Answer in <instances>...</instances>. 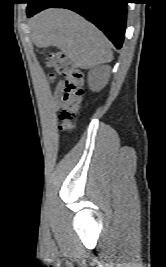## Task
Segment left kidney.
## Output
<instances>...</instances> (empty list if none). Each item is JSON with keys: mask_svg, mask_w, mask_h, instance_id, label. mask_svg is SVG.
<instances>
[{"mask_svg": "<svg viewBox=\"0 0 166 267\" xmlns=\"http://www.w3.org/2000/svg\"><path fill=\"white\" fill-rule=\"evenodd\" d=\"M88 85L92 91H98L104 86L102 69L96 68L89 71Z\"/></svg>", "mask_w": 166, "mask_h": 267, "instance_id": "obj_1", "label": "left kidney"}]
</instances>
